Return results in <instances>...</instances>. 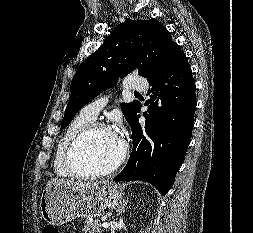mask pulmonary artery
I'll return each instance as SVG.
<instances>
[{
  "label": "pulmonary artery",
  "instance_id": "1",
  "mask_svg": "<svg viewBox=\"0 0 253 233\" xmlns=\"http://www.w3.org/2000/svg\"><path fill=\"white\" fill-rule=\"evenodd\" d=\"M147 86V81L140 78H129L125 82V87L135 93H138L139 91H144ZM107 102V96L99 97L84 106L81 109L80 114L94 120L97 117L98 113L106 106Z\"/></svg>",
  "mask_w": 253,
  "mask_h": 233
}]
</instances>
